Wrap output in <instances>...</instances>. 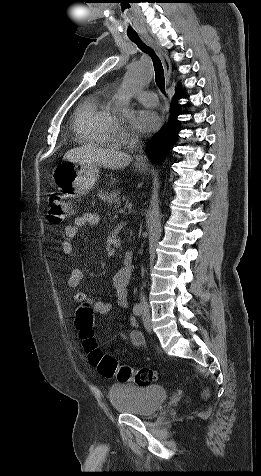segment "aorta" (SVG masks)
<instances>
[{
	"label": "aorta",
	"mask_w": 261,
	"mask_h": 476,
	"mask_svg": "<svg viewBox=\"0 0 261 476\" xmlns=\"http://www.w3.org/2000/svg\"><path fill=\"white\" fill-rule=\"evenodd\" d=\"M150 78L151 75L149 71L140 66H132L129 68L123 87L118 91L115 97L114 111L117 118L126 119L133 113L130 105L133 92L143 83L148 82Z\"/></svg>",
	"instance_id": "obj_1"
}]
</instances>
